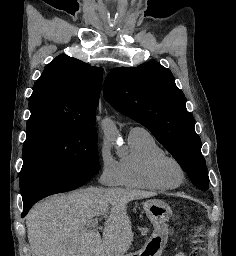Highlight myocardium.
<instances>
[{
    "label": "myocardium",
    "instance_id": "f54148a6",
    "mask_svg": "<svg viewBox=\"0 0 236 256\" xmlns=\"http://www.w3.org/2000/svg\"><path fill=\"white\" fill-rule=\"evenodd\" d=\"M174 165L179 171L180 178L173 180L167 173L168 165ZM150 176L154 182L165 187L175 188L179 187L186 179V171L182 163L171 155H162L153 159L150 165Z\"/></svg>",
    "mask_w": 236,
    "mask_h": 256
}]
</instances>
